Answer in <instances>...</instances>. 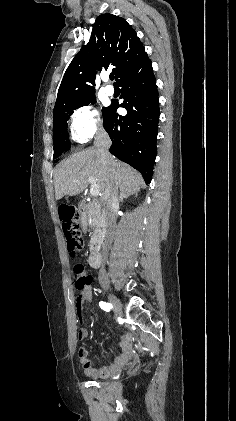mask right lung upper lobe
<instances>
[{"label": "right lung upper lobe", "instance_id": "1", "mask_svg": "<svg viewBox=\"0 0 236 421\" xmlns=\"http://www.w3.org/2000/svg\"><path fill=\"white\" fill-rule=\"evenodd\" d=\"M145 55L137 33L124 18L109 13L98 16L89 42L64 74L54 109L94 96L96 70L113 67L117 79L121 71Z\"/></svg>", "mask_w": 236, "mask_h": 421}]
</instances>
